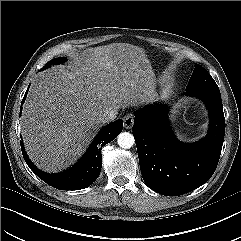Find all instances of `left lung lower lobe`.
Masks as SVG:
<instances>
[{
  "label": "left lung lower lobe",
  "instance_id": "left-lung-lower-lobe-1",
  "mask_svg": "<svg viewBox=\"0 0 241 241\" xmlns=\"http://www.w3.org/2000/svg\"><path fill=\"white\" fill-rule=\"evenodd\" d=\"M186 94L206 104L210 114L208 134L199 142L183 144L172 133L167 108L148 106L134 113L133 136L146 185L165 196L188 193L213 175L225 135V118L219 90L193 89Z\"/></svg>",
  "mask_w": 241,
  "mask_h": 241
}]
</instances>
